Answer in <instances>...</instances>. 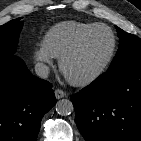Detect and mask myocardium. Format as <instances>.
<instances>
[{
    "label": "myocardium",
    "instance_id": "obj_1",
    "mask_svg": "<svg viewBox=\"0 0 141 141\" xmlns=\"http://www.w3.org/2000/svg\"><path fill=\"white\" fill-rule=\"evenodd\" d=\"M106 29L112 38V46L109 51V54L107 55L106 59L103 61V63L92 73L80 77V78H73L70 77L66 72V64L67 62L78 52L80 47L82 46L85 39L96 29ZM117 49V37L114 33V31L107 25L96 23L93 26L89 27L87 30H85L77 39L76 41L71 45V47L59 58V67L62 74L66 77V79L74 86L78 87H84L87 86L93 82H95L98 78H100L105 71L108 69L109 65L111 64L115 53Z\"/></svg>",
    "mask_w": 141,
    "mask_h": 141
}]
</instances>
